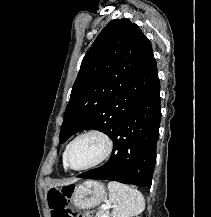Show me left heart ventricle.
<instances>
[{
    "label": "left heart ventricle",
    "mask_w": 211,
    "mask_h": 217,
    "mask_svg": "<svg viewBox=\"0 0 211 217\" xmlns=\"http://www.w3.org/2000/svg\"><path fill=\"white\" fill-rule=\"evenodd\" d=\"M105 148V143L99 136H84L72 146L69 154L70 163L75 168L89 165L103 155Z\"/></svg>",
    "instance_id": "b2bd125f"
}]
</instances>
